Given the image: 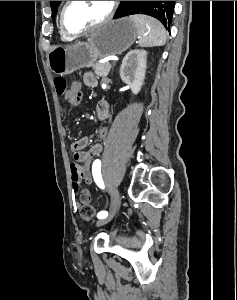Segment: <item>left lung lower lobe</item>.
<instances>
[{
	"label": "left lung lower lobe",
	"mask_w": 237,
	"mask_h": 300,
	"mask_svg": "<svg viewBox=\"0 0 237 300\" xmlns=\"http://www.w3.org/2000/svg\"><path fill=\"white\" fill-rule=\"evenodd\" d=\"M164 4H165V5L173 4V5L175 6L174 1H164Z\"/></svg>",
	"instance_id": "0a47b994"
}]
</instances>
